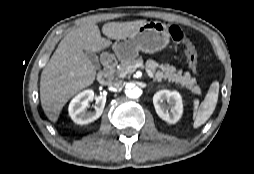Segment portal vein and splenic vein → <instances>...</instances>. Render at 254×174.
Returning a JSON list of instances; mask_svg holds the SVG:
<instances>
[{"label":"portal vein and splenic vein","instance_id":"1","mask_svg":"<svg viewBox=\"0 0 254 174\" xmlns=\"http://www.w3.org/2000/svg\"><path fill=\"white\" fill-rule=\"evenodd\" d=\"M137 67H144V65L142 63H137L136 65L131 66L130 68L135 70ZM146 72L150 78H154V74L149 69H146Z\"/></svg>","mask_w":254,"mask_h":174}]
</instances>
